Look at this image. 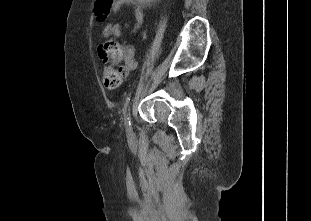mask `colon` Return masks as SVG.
<instances>
[{"label": "colon", "mask_w": 311, "mask_h": 221, "mask_svg": "<svg viewBox=\"0 0 311 221\" xmlns=\"http://www.w3.org/2000/svg\"><path fill=\"white\" fill-rule=\"evenodd\" d=\"M116 3L117 0L95 1V8H98V10L93 12L95 22H104V17H110L111 12H113L112 4ZM98 53L105 64L103 79L106 88L118 86L124 74L122 62L126 58V50L120 47L113 39L105 37L98 47Z\"/></svg>", "instance_id": "colon-1"}]
</instances>
